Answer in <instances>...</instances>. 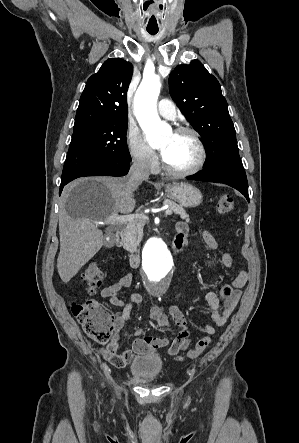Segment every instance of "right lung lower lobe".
Wrapping results in <instances>:
<instances>
[{
  "mask_svg": "<svg viewBox=\"0 0 299 443\" xmlns=\"http://www.w3.org/2000/svg\"><path fill=\"white\" fill-rule=\"evenodd\" d=\"M130 168V161H119L105 163L88 170L83 171L80 174L75 175L65 182H61L59 194H61L63 187L70 181L85 176H124L128 173Z\"/></svg>",
  "mask_w": 299,
  "mask_h": 443,
  "instance_id": "1",
  "label": "right lung lower lobe"
}]
</instances>
